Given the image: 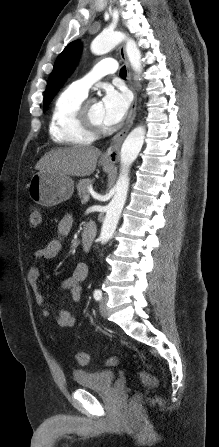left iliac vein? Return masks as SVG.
Returning <instances> with one entry per match:
<instances>
[{
  "label": "left iliac vein",
  "instance_id": "left-iliac-vein-1",
  "mask_svg": "<svg viewBox=\"0 0 219 447\" xmlns=\"http://www.w3.org/2000/svg\"><path fill=\"white\" fill-rule=\"evenodd\" d=\"M106 303H107V298H106V297H103V298L101 299V301H100V305H99L100 314H101L103 317H106V316H107V305H106Z\"/></svg>",
  "mask_w": 219,
  "mask_h": 447
}]
</instances>
